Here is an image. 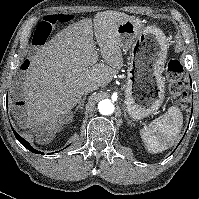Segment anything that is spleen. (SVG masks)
<instances>
[{"label":"spleen","instance_id":"3e777b00","mask_svg":"<svg viewBox=\"0 0 199 199\" xmlns=\"http://www.w3.org/2000/svg\"><path fill=\"white\" fill-rule=\"evenodd\" d=\"M183 125V116L179 108L170 107L162 116L152 121L140 131L146 150L160 153L172 147Z\"/></svg>","mask_w":199,"mask_h":199}]
</instances>
